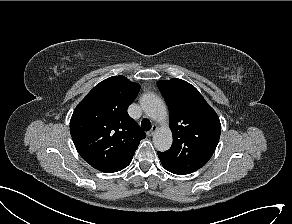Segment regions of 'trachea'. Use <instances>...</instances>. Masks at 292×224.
<instances>
[{
	"instance_id": "3493384b",
	"label": "trachea",
	"mask_w": 292,
	"mask_h": 224,
	"mask_svg": "<svg viewBox=\"0 0 292 224\" xmlns=\"http://www.w3.org/2000/svg\"><path fill=\"white\" fill-rule=\"evenodd\" d=\"M141 127L143 130L148 131L151 129V122L148 119H143L141 122Z\"/></svg>"
}]
</instances>
